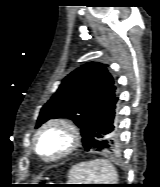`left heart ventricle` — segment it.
I'll return each mask as SVG.
<instances>
[{"mask_svg":"<svg viewBox=\"0 0 160 187\" xmlns=\"http://www.w3.org/2000/svg\"><path fill=\"white\" fill-rule=\"evenodd\" d=\"M67 144L65 134L59 130H51L47 132L40 145V150L47 156H52L62 150Z\"/></svg>","mask_w":160,"mask_h":187,"instance_id":"left-heart-ventricle-1","label":"left heart ventricle"}]
</instances>
